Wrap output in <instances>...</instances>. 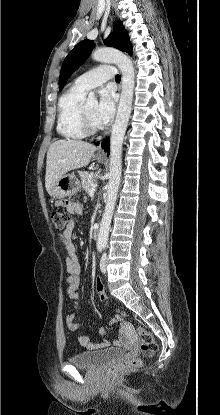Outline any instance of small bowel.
<instances>
[{
    "label": "small bowel",
    "mask_w": 220,
    "mask_h": 415,
    "mask_svg": "<svg viewBox=\"0 0 220 415\" xmlns=\"http://www.w3.org/2000/svg\"><path fill=\"white\" fill-rule=\"evenodd\" d=\"M67 210L71 214H75V215H79V216H81L83 214V208H82L81 204L77 203V202L68 205ZM74 225H75V221H74V219H71L68 222L65 230L58 236V241H59V244L64 249V251L67 255V258H68V260H67V270L70 274V276L68 278L69 297L72 300L77 301L78 297H79L78 296V289H79V286H80V279H79L80 265H79V261H78V258L76 256V253H75V246L72 242V233H73ZM95 288H96L97 293H99V294L100 293H105V285L99 279L95 283ZM66 323H67V327L70 331H77L79 329L80 325L76 320V314L75 313H70V314L67 315ZM97 334L99 336H104L106 334V330L104 328H99L98 331H97ZM78 342H79L80 345H82L83 347H86L87 349H90V350L103 349V348L109 347L110 345H120L122 343V341L120 339L114 340L112 343L107 342V341H94L93 342L86 335H79L78 336Z\"/></svg>",
    "instance_id": "obj_1"
}]
</instances>
